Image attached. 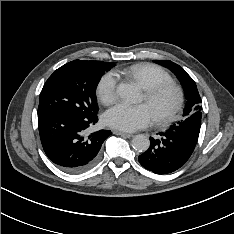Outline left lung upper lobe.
<instances>
[{"instance_id": "obj_1", "label": "left lung upper lobe", "mask_w": 234, "mask_h": 234, "mask_svg": "<svg viewBox=\"0 0 234 234\" xmlns=\"http://www.w3.org/2000/svg\"><path fill=\"white\" fill-rule=\"evenodd\" d=\"M155 62L169 68L175 75H177L184 88L187 100L181 120L171 127L183 128L190 134L198 137L201 127L202 107L196 83L178 64L169 60H155Z\"/></svg>"}]
</instances>
